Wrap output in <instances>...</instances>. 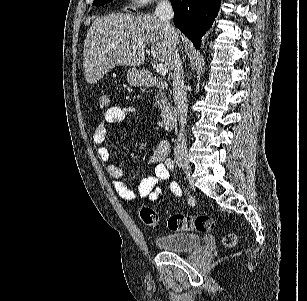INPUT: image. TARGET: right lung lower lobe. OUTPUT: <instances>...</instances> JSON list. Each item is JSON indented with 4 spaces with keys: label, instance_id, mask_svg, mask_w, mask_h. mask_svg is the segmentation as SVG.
<instances>
[{
    "label": "right lung lower lobe",
    "instance_id": "98d812e1",
    "mask_svg": "<svg viewBox=\"0 0 307 301\" xmlns=\"http://www.w3.org/2000/svg\"><path fill=\"white\" fill-rule=\"evenodd\" d=\"M173 22L196 46L218 14L220 0H171Z\"/></svg>",
    "mask_w": 307,
    "mask_h": 301
}]
</instances>
